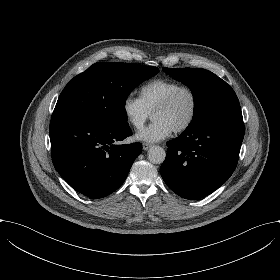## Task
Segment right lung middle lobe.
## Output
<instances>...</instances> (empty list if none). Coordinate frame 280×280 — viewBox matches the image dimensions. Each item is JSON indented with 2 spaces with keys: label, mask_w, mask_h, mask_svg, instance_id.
Masks as SVG:
<instances>
[{
  "label": "right lung middle lobe",
  "mask_w": 280,
  "mask_h": 280,
  "mask_svg": "<svg viewBox=\"0 0 280 280\" xmlns=\"http://www.w3.org/2000/svg\"><path fill=\"white\" fill-rule=\"evenodd\" d=\"M158 72L156 67L139 64L95 63L65 86L53 115H75L100 124H127L128 95Z\"/></svg>",
  "instance_id": "1"
}]
</instances>
